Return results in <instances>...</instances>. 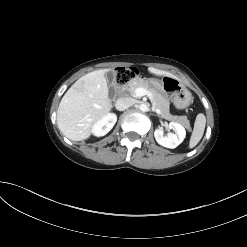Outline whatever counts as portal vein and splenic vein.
Masks as SVG:
<instances>
[{
  "label": "portal vein and splenic vein",
  "instance_id": "obj_1",
  "mask_svg": "<svg viewBox=\"0 0 247 247\" xmlns=\"http://www.w3.org/2000/svg\"><path fill=\"white\" fill-rule=\"evenodd\" d=\"M145 95H147L148 97H149V99L151 100V102H152V100H153V96H152V94H151V92H149L148 90H146L145 88H137L136 90H135V96L136 97H142V96H145ZM155 111L157 112V113H160V110L159 109H155Z\"/></svg>",
  "mask_w": 247,
  "mask_h": 247
}]
</instances>
